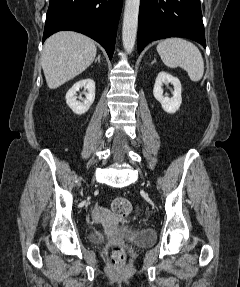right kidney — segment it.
Returning <instances> with one entry per match:
<instances>
[{
    "label": "right kidney",
    "instance_id": "right-kidney-1",
    "mask_svg": "<svg viewBox=\"0 0 240 287\" xmlns=\"http://www.w3.org/2000/svg\"><path fill=\"white\" fill-rule=\"evenodd\" d=\"M80 88H84L86 99H76V93L80 90ZM95 100V82L92 79H83L76 82L66 93V103L71 108V110L78 115L86 113Z\"/></svg>",
    "mask_w": 240,
    "mask_h": 287
}]
</instances>
